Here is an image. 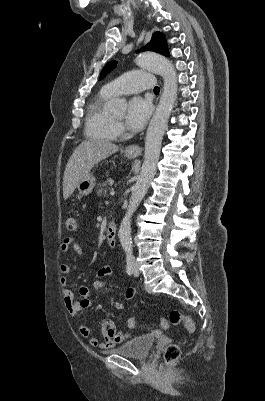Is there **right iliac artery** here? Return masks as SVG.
Here are the masks:
<instances>
[{
  "mask_svg": "<svg viewBox=\"0 0 265 401\" xmlns=\"http://www.w3.org/2000/svg\"><path fill=\"white\" fill-rule=\"evenodd\" d=\"M126 273L130 276L133 273V266L130 257H127Z\"/></svg>",
  "mask_w": 265,
  "mask_h": 401,
  "instance_id": "right-iliac-artery-1",
  "label": "right iliac artery"
}]
</instances>
